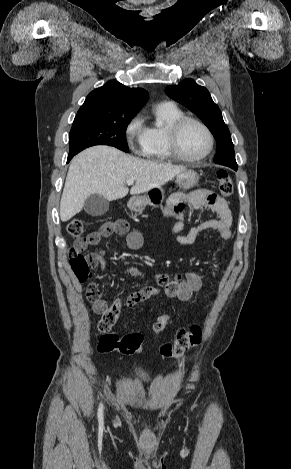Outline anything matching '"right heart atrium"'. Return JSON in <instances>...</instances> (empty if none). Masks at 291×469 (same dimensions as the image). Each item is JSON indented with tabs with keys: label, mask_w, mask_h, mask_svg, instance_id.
Segmentation results:
<instances>
[{
	"label": "right heart atrium",
	"mask_w": 291,
	"mask_h": 469,
	"mask_svg": "<svg viewBox=\"0 0 291 469\" xmlns=\"http://www.w3.org/2000/svg\"><path fill=\"white\" fill-rule=\"evenodd\" d=\"M124 136L131 150L142 152L146 139V126L141 114H137L127 123Z\"/></svg>",
	"instance_id": "d8ad5b80"
}]
</instances>
